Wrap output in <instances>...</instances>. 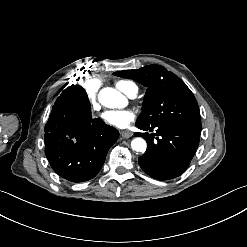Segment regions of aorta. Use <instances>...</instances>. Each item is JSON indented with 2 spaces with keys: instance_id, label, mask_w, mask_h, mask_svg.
<instances>
[{
  "instance_id": "obj_1",
  "label": "aorta",
  "mask_w": 247,
  "mask_h": 247,
  "mask_svg": "<svg viewBox=\"0 0 247 247\" xmlns=\"http://www.w3.org/2000/svg\"><path fill=\"white\" fill-rule=\"evenodd\" d=\"M100 103L108 108H119L125 103V97L117 90L107 87L103 88L99 93ZM131 147L136 152L144 153L147 148V143L143 138H134L131 142Z\"/></svg>"
}]
</instances>
